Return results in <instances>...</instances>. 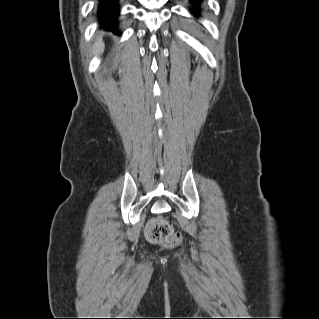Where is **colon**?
Returning <instances> with one entry per match:
<instances>
[{"instance_id":"colon-1","label":"colon","mask_w":319,"mask_h":319,"mask_svg":"<svg viewBox=\"0 0 319 319\" xmlns=\"http://www.w3.org/2000/svg\"><path fill=\"white\" fill-rule=\"evenodd\" d=\"M146 237L154 243L178 246L182 242L180 233H174L169 221L162 218L150 220L146 227Z\"/></svg>"}]
</instances>
